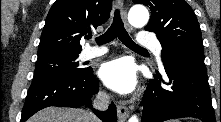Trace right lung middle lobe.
<instances>
[{
	"instance_id": "dd1d6c3e",
	"label": "right lung middle lobe",
	"mask_w": 221,
	"mask_h": 122,
	"mask_svg": "<svg viewBox=\"0 0 221 122\" xmlns=\"http://www.w3.org/2000/svg\"><path fill=\"white\" fill-rule=\"evenodd\" d=\"M77 58L78 55H60L37 59L32 82L83 74L87 68H80Z\"/></svg>"
}]
</instances>
